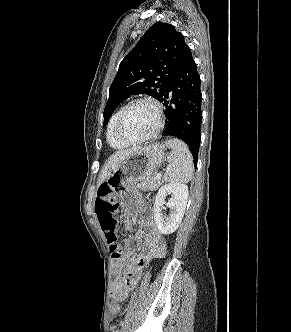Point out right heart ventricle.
Listing matches in <instances>:
<instances>
[{
  "label": "right heart ventricle",
  "mask_w": 291,
  "mask_h": 332,
  "mask_svg": "<svg viewBox=\"0 0 291 332\" xmlns=\"http://www.w3.org/2000/svg\"><path fill=\"white\" fill-rule=\"evenodd\" d=\"M121 109L122 108L118 109L112 115V117L109 121V124H108V128H107V141H108L109 145L114 149H123V148L127 147V145H128V144L120 141L115 132L116 120H117V117H118Z\"/></svg>",
  "instance_id": "e07e8e85"
}]
</instances>
